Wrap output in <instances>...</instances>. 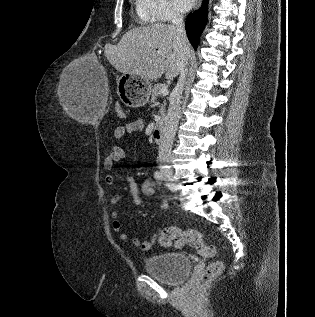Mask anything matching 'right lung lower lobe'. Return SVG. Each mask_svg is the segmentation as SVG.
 Wrapping results in <instances>:
<instances>
[{"mask_svg":"<svg viewBox=\"0 0 315 317\" xmlns=\"http://www.w3.org/2000/svg\"><path fill=\"white\" fill-rule=\"evenodd\" d=\"M208 0H204L202 7L189 14L186 19V32L194 49H197L200 35L207 23Z\"/></svg>","mask_w":315,"mask_h":317,"instance_id":"obj_1","label":"right lung lower lobe"}]
</instances>
